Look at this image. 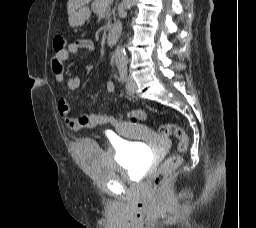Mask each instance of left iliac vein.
Returning a JSON list of instances; mask_svg holds the SVG:
<instances>
[{
	"label": "left iliac vein",
	"instance_id": "4c4485c4",
	"mask_svg": "<svg viewBox=\"0 0 256 228\" xmlns=\"http://www.w3.org/2000/svg\"><path fill=\"white\" fill-rule=\"evenodd\" d=\"M127 91L131 94L136 93L137 91V85L133 79L132 76H128L127 78V84H126Z\"/></svg>",
	"mask_w": 256,
	"mask_h": 228
}]
</instances>
